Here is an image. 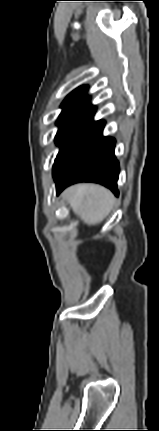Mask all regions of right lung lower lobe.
Here are the masks:
<instances>
[{
  "instance_id": "right-lung-lower-lobe-1",
  "label": "right lung lower lobe",
  "mask_w": 159,
  "mask_h": 431,
  "mask_svg": "<svg viewBox=\"0 0 159 431\" xmlns=\"http://www.w3.org/2000/svg\"><path fill=\"white\" fill-rule=\"evenodd\" d=\"M103 120L91 121L61 146L53 166L56 191L76 182H96L118 196L119 162L114 154L115 139L103 136Z\"/></svg>"
}]
</instances>
